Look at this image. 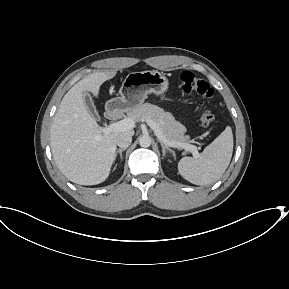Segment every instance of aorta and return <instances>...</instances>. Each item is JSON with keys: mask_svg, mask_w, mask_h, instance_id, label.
Listing matches in <instances>:
<instances>
[{"mask_svg": "<svg viewBox=\"0 0 289 289\" xmlns=\"http://www.w3.org/2000/svg\"><path fill=\"white\" fill-rule=\"evenodd\" d=\"M152 141L151 138L149 136H142L139 139V145L141 147L147 148L151 145Z\"/></svg>", "mask_w": 289, "mask_h": 289, "instance_id": "1", "label": "aorta"}]
</instances>
